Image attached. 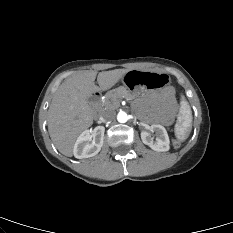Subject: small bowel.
Returning a JSON list of instances; mask_svg holds the SVG:
<instances>
[{
    "label": "small bowel",
    "mask_w": 233,
    "mask_h": 233,
    "mask_svg": "<svg viewBox=\"0 0 233 233\" xmlns=\"http://www.w3.org/2000/svg\"><path fill=\"white\" fill-rule=\"evenodd\" d=\"M153 109L162 121H170L176 111V100L172 89L165 90L153 99Z\"/></svg>",
    "instance_id": "small-bowel-1"
}]
</instances>
